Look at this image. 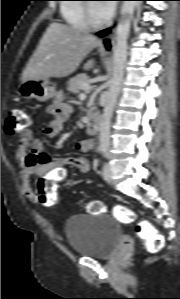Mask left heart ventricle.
<instances>
[{"mask_svg": "<svg viewBox=\"0 0 180 299\" xmlns=\"http://www.w3.org/2000/svg\"><path fill=\"white\" fill-rule=\"evenodd\" d=\"M91 5H92L93 17L96 21H102L108 16L102 9L101 7L102 4L91 3Z\"/></svg>", "mask_w": 180, "mask_h": 299, "instance_id": "left-heart-ventricle-1", "label": "left heart ventricle"}]
</instances>
